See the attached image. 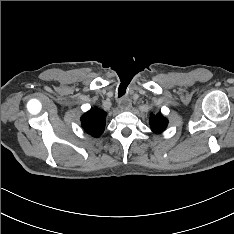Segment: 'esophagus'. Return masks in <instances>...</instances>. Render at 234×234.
Here are the masks:
<instances>
[{
    "instance_id": "1",
    "label": "esophagus",
    "mask_w": 234,
    "mask_h": 234,
    "mask_svg": "<svg viewBox=\"0 0 234 234\" xmlns=\"http://www.w3.org/2000/svg\"><path fill=\"white\" fill-rule=\"evenodd\" d=\"M119 107L124 110H128L131 108V102L127 99H122L119 101Z\"/></svg>"
}]
</instances>
